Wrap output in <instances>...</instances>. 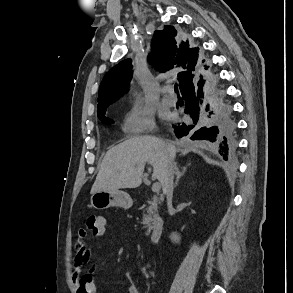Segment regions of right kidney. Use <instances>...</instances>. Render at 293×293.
Masks as SVG:
<instances>
[{"mask_svg": "<svg viewBox=\"0 0 293 293\" xmlns=\"http://www.w3.org/2000/svg\"><path fill=\"white\" fill-rule=\"evenodd\" d=\"M171 239H172L174 242H178V241H179V237H178L177 235H175V234H173V235L171 236Z\"/></svg>", "mask_w": 293, "mask_h": 293, "instance_id": "right-kidney-1", "label": "right kidney"}]
</instances>
